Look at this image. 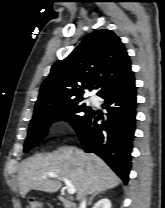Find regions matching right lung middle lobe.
<instances>
[{
	"label": "right lung middle lobe",
	"instance_id": "dd1d6c3e",
	"mask_svg": "<svg viewBox=\"0 0 165 208\" xmlns=\"http://www.w3.org/2000/svg\"><path fill=\"white\" fill-rule=\"evenodd\" d=\"M93 111L85 104L82 99L49 105L34 112L30 122L28 137L24 145V152L32 149L47 134L51 123L65 119L79 130ZM84 113V114H83Z\"/></svg>",
	"mask_w": 165,
	"mask_h": 208
}]
</instances>
